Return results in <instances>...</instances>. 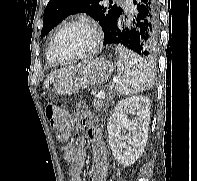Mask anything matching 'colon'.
<instances>
[{"mask_svg":"<svg viewBox=\"0 0 197 181\" xmlns=\"http://www.w3.org/2000/svg\"><path fill=\"white\" fill-rule=\"evenodd\" d=\"M46 117L56 135L63 137L67 134L71 124V117L64 111L57 109L54 105L48 104L45 109Z\"/></svg>","mask_w":197,"mask_h":181,"instance_id":"1","label":"colon"}]
</instances>
